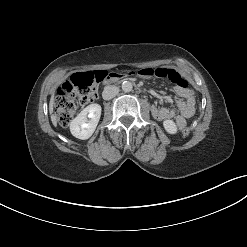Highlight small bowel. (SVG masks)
Segmentation results:
<instances>
[{
  "label": "small bowel",
  "mask_w": 247,
  "mask_h": 247,
  "mask_svg": "<svg viewBox=\"0 0 247 247\" xmlns=\"http://www.w3.org/2000/svg\"><path fill=\"white\" fill-rule=\"evenodd\" d=\"M142 78L159 77L166 78L174 83V90L183 100L175 102V106L168 108L165 106H152L151 112L155 119L164 121L170 118H175L178 128L186 125L187 120L195 113V97L194 92L189 88L187 81L174 69L159 67V68H142L137 72ZM113 78L120 77V74H113Z\"/></svg>",
  "instance_id": "c3829d8e"
}]
</instances>
